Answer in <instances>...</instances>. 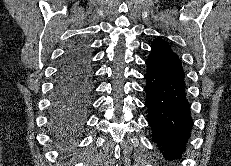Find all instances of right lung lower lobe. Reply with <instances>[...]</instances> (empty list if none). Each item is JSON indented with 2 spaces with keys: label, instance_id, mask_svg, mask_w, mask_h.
Here are the masks:
<instances>
[{
  "label": "right lung lower lobe",
  "instance_id": "98d812e1",
  "mask_svg": "<svg viewBox=\"0 0 231 166\" xmlns=\"http://www.w3.org/2000/svg\"><path fill=\"white\" fill-rule=\"evenodd\" d=\"M92 88L90 48L85 39H79L66 51L56 76L49 115V126L55 134L70 135L80 130Z\"/></svg>",
  "mask_w": 231,
  "mask_h": 166
}]
</instances>
